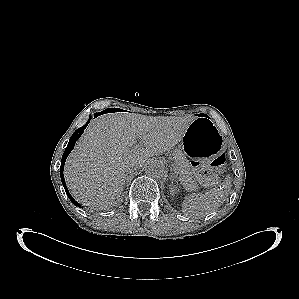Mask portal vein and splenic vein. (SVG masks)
<instances>
[{
  "label": "portal vein and splenic vein",
  "mask_w": 299,
  "mask_h": 299,
  "mask_svg": "<svg viewBox=\"0 0 299 299\" xmlns=\"http://www.w3.org/2000/svg\"><path fill=\"white\" fill-rule=\"evenodd\" d=\"M136 147H140V145H136Z\"/></svg>",
  "instance_id": "18ae733b"
}]
</instances>
